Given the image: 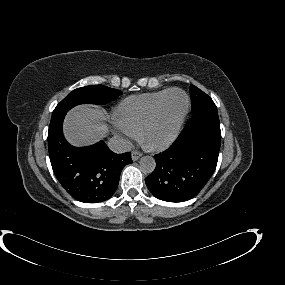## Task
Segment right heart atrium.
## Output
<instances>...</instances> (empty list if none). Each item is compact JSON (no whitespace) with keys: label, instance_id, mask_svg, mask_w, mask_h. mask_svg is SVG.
<instances>
[{"label":"right heart atrium","instance_id":"obj_1","mask_svg":"<svg viewBox=\"0 0 285 285\" xmlns=\"http://www.w3.org/2000/svg\"><path fill=\"white\" fill-rule=\"evenodd\" d=\"M113 131L118 137H121L125 141H129L130 139H133L136 137V134H134L131 130H129L126 126L121 124L119 121H115Z\"/></svg>","mask_w":285,"mask_h":285}]
</instances>
